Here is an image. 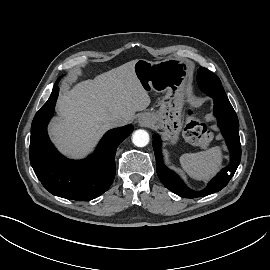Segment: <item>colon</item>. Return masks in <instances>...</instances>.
<instances>
[{"label": "colon", "instance_id": "1", "mask_svg": "<svg viewBox=\"0 0 270 270\" xmlns=\"http://www.w3.org/2000/svg\"><path fill=\"white\" fill-rule=\"evenodd\" d=\"M185 136L193 144L208 147L212 141V133L206 128L199 115L189 111L185 124Z\"/></svg>", "mask_w": 270, "mask_h": 270}]
</instances>
